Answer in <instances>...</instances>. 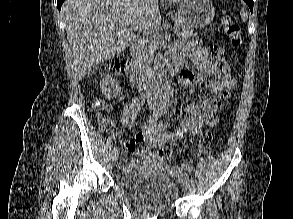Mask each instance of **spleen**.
<instances>
[{"label":"spleen","instance_id":"obj_1","mask_svg":"<svg viewBox=\"0 0 293 219\" xmlns=\"http://www.w3.org/2000/svg\"><path fill=\"white\" fill-rule=\"evenodd\" d=\"M240 15H241L242 20L245 22L247 20V18H248V15H247L246 10L245 9H241Z\"/></svg>","mask_w":293,"mask_h":219}]
</instances>
